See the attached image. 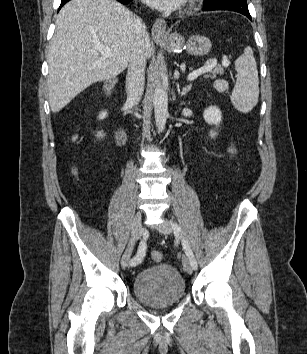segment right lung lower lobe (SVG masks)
Segmentation results:
<instances>
[{
	"label": "right lung lower lobe",
	"mask_w": 307,
	"mask_h": 354,
	"mask_svg": "<svg viewBox=\"0 0 307 354\" xmlns=\"http://www.w3.org/2000/svg\"><path fill=\"white\" fill-rule=\"evenodd\" d=\"M68 1H70V0H61V5H60V8L65 4V3H67ZM120 3H123V4H127V3H129L130 1H132V0H118Z\"/></svg>",
	"instance_id": "right-lung-lower-lobe-1"
}]
</instances>
